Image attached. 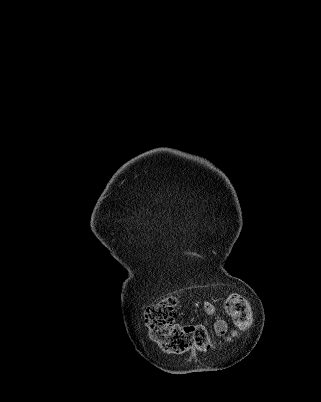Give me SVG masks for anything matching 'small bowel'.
Here are the masks:
<instances>
[{"instance_id":"obj_1","label":"small bowel","mask_w":321,"mask_h":402,"mask_svg":"<svg viewBox=\"0 0 321 402\" xmlns=\"http://www.w3.org/2000/svg\"><path fill=\"white\" fill-rule=\"evenodd\" d=\"M202 308L207 315L213 316L215 318L213 328L216 334L219 336H223L224 334H226L228 331V325L226 321L218 315L216 306L212 302L205 301L202 304Z\"/></svg>"}]
</instances>
